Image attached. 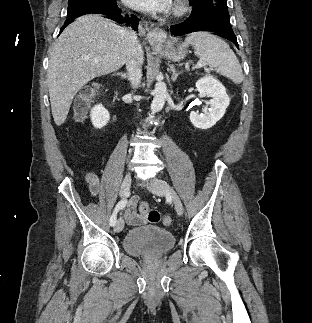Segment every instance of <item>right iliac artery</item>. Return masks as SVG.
Listing matches in <instances>:
<instances>
[{"label": "right iliac artery", "instance_id": "right-iliac-artery-1", "mask_svg": "<svg viewBox=\"0 0 312 323\" xmlns=\"http://www.w3.org/2000/svg\"><path fill=\"white\" fill-rule=\"evenodd\" d=\"M127 204V199L124 198L122 199L121 201H119L110 217V225L111 226H114L115 223H116V218H117V212L120 210V209H123Z\"/></svg>", "mask_w": 312, "mask_h": 323}]
</instances>
